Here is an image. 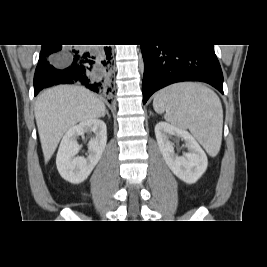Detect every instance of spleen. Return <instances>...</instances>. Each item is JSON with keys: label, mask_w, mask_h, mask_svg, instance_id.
<instances>
[{"label": "spleen", "mask_w": 267, "mask_h": 267, "mask_svg": "<svg viewBox=\"0 0 267 267\" xmlns=\"http://www.w3.org/2000/svg\"><path fill=\"white\" fill-rule=\"evenodd\" d=\"M153 107L159 114L165 112V120L173 126L189 129L210 156L218 154L223 110L213 90L201 83H177L156 93Z\"/></svg>", "instance_id": "obj_1"}]
</instances>
